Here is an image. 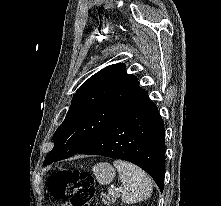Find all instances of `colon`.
I'll return each mask as SVG.
<instances>
[{
    "instance_id": "obj_1",
    "label": "colon",
    "mask_w": 221,
    "mask_h": 206,
    "mask_svg": "<svg viewBox=\"0 0 221 206\" xmlns=\"http://www.w3.org/2000/svg\"><path fill=\"white\" fill-rule=\"evenodd\" d=\"M50 194L60 200H69L72 206H89L95 185L93 176L85 171L62 169L48 180Z\"/></svg>"
}]
</instances>
